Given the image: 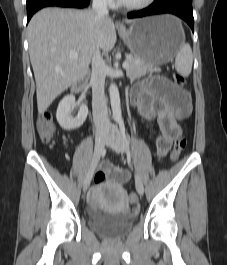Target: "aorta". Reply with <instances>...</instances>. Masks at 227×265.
Instances as JSON below:
<instances>
[{
	"mask_svg": "<svg viewBox=\"0 0 227 265\" xmlns=\"http://www.w3.org/2000/svg\"><path fill=\"white\" fill-rule=\"evenodd\" d=\"M109 93H110V103H111L113 118L116 122H120L122 121L121 103H120L119 91L115 83H112L110 85Z\"/></svg>",
	"mask_w": 227,
	"mask_h": 265,
	"instance_id": "obj_1",
	"label": "aorta"
}]
</instances>
